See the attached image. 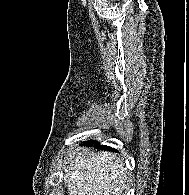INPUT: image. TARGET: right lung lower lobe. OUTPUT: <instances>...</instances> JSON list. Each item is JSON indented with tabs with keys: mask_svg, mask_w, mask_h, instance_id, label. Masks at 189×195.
<instances>
[{
	"mask_svg": "<svg viewBox=\"0 0 189 195\" xmlns=\"http://www.w3.org/2000/svg\"><path fill=\"white\" fill-rule=\"evenodd\" d=\"M81 145H85V146H95L97 148H100V149H103V150H112V151H115L117 152V150H114L113 148L109 147V146H105V145H100L97 141H94V140H90L88 142H83V144Z\"/></svg>",
	"mask_w": 189,
	"mask_h": 195,
	"instance_id": "right-lung-lower-lobe-1",
	"label": "right lung lower lobe"
}]
</instances>
